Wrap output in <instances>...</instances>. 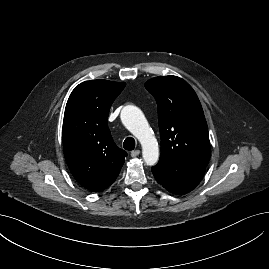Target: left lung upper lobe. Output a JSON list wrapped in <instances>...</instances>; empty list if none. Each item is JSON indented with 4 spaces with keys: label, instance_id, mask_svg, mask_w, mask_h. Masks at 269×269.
I'll list each match as a JSON object with an SVG mask.
<instances>
[{
    "label": "left lung upper lobe",
    "instance_id": "1",
    "mask_svg": "<svg viewBox=\"0 0 269 269\" xmlns=\"http://www.w3.org/2000/svg\"><path fill=\"white\" fill-rule=\"evenodd\" d=\"M145 87L158 105L160 158L206 168L211 153L208 127L195 91L177 76L152 78Z\"/></svg>",
    "mask_w": 269,
    "mask_h": 269
}]
</instances>
